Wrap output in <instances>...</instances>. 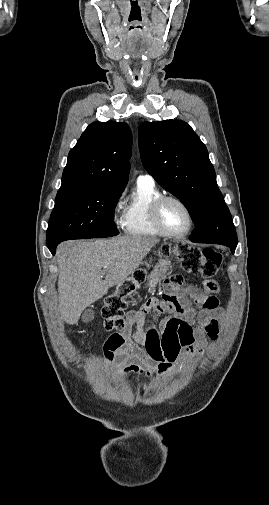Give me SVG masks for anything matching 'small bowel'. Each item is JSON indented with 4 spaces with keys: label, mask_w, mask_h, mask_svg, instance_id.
<instances>
[{
    "label": "small bowel",
    "mask_w": 269,
    "mask_h": 505,
    "mask_svg": "<svg viewBox=\"0 0 269 505\" xmlns=\"http://www.w3.org/2000/svg\"><path fill=\"white\" fill-rule=\"evenodd\" d=\"M201 275L190 277L206 283L203 294L177 295L165 290L163 295L146 298L139 310L130 311L128 332L109 337L104 344L107 363L118 361L125 365V375H145L155 366L165 372L172 368L181 350L197 355L206 350L207 338L217 340L222 316L215 297L219 288L216 281H204ZM180 282L175 279L172 288L176 289ZM193 301L198 310L192 307ZM148 315L163 321L158 326H148Z\"/></svg>",
    "instance_id": "small-bowel-1"
}]
</instances>
